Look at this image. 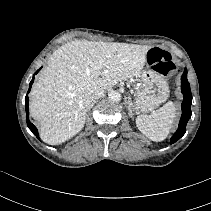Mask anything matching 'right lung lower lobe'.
Here are the masks:
<instances>
[{
	"mask_svg": "<svg viewBox=\"0 0 211 211\" xmlns=\"http://www.w3.org/2000/svg\"><path fill=\"white\" fill-rule=\"evenodd\" d=\"M38 71H39V70H37L35 74H37ZM33 82H34V77H33V79H32L31 82H30V86H29L28 92L30 91V88H31V85H32ZM28 102H29V98H28V96H26V98H25V106H26L27 125H28L29 129L32 131V133L39 139V135H38V130H37V128H36V127L30 122V120H29Z\"/></svg>",
	"mask_w": 211,
	"mask_h": 211,
	"instance_id": "right-lung-lower-lobe-1",
	"label": "right lung lower lobe"
}]
</instances>
